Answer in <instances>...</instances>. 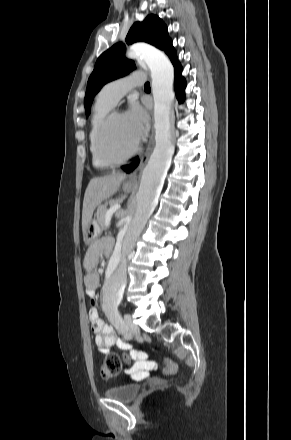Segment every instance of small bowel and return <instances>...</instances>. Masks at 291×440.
Here are the masks:
<instances>
[{
  "label": "small bowel",
  "instance_id": "obj_1",
  "mask_svg": "<svg viewBox=\"0 0 291 440\" xmlns=\"http://www.w3.org/2000/svg\"><path fill=\"white\" fill-rule=\"evenodd\" d=\"M113 248V241L110 239H101L92 245L86 252L83 264L88 270L84 281L86 293L90 303V310L88 313L89 321L92 330L95 334L96 345L103 354H109L114 347L129 351L130 357L135 360V363L126 368L125 372L136 377H146L150 372L157 369V365L148 360L147 356H143L133 350L130 344L120 340L115 334L112 326L103 322L99 311L96 308L95 292L99 285V276L94 272V267L99 259L111 252Z\"/></svg>",
  "mask_w": 291,
  "mask_h": 440
}]
</instances>
